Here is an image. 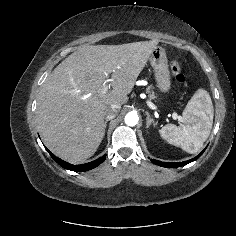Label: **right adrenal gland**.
I'll return each instance as SVG.
<instances>
[{"label":"right adrenal gland","instance_id":"obj_1","mask_svg":"<svg viewBox=\"0 0 236 236\" xmlns=\"http://www.w3.org/2000/svg\"><path fill=\"white\" fill-rule=\"evenodd\" d=\"M107 122H108V120H106V121L104 122L103 136L105 135V130H106Z\"/></svg>","mask_w":236,"mask_h":236}]
</instances>
